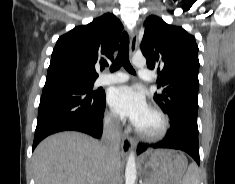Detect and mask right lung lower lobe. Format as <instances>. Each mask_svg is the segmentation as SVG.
Masks as SVG:
<instances>
[{
  "mask_svg": "<svg viewBox=\"0 0 235 184\" xmlns=\"http://www.w3.org/2000/svg\"><path fill=\"white\" fill-rule=\"evenodd\" d=\"M105 105V92L95 95L63 80L45 83L32 151L45 137L61 131H79L100 138Z\"/></svg>",
  "mask_w": 235,
  "mask_h": 184,
  "instance_id": "right-lung-lower-lobe-1",
  "label": "right lung lower lobe"
}]
</instances>
